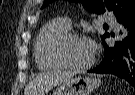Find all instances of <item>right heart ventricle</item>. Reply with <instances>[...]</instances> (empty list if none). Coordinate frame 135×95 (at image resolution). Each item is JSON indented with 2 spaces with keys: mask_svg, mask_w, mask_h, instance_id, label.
<instances>
[{
  "mask_svg": "<svg viewBox=\"0 0 135 95\" xmlns=\"http://www.w3.org/2000/svg\"><path fill=\"white\" fill-rule=\"evenodd\" d=\"M70 27L61 19L48 21L37 34L34 44L35 60L40 69L52 70L63 66L55 56V45Z\"/></svg>",
  "mask_w": 135,
  "mask_h": 95,
  "instance_id": "right-heart-ventricle-1",
  "label": "right heart ventricle"
}]
</instances>
